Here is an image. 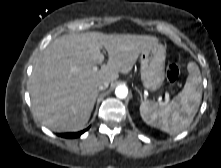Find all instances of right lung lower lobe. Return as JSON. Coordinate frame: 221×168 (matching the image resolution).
<instances>
[{
    "instance_id": "1",
    "label": "right lung lower lobe",
    "mask_w": 221,
    "mask_h": 168,
    "mask_svg": "<svg viewBox=\"0 0 221 168\" xmlns=\"http://www.w3.org/2000/svg\"><path fill=\"white\" fill-rule=\"evenodd\" d=\"M86 130L77 132V133H63V134H59V136L61 137H65V138H76L79 137L81 134H83Z\"/></svg>"
}]
</instances>
